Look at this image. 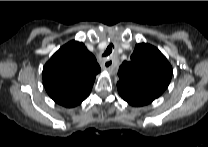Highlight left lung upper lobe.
<instances>
[{"label":"left lung upper lobe","instance_id":"left-lung-upper-lobe-1","mask_svg":"<svg viewBox=\"0 0 208 147\" xmlns=\"http://www.w3.org/2000/svg\"><path fill=\"white\" fill-rule=\"evenodd\" d=\"M172 73L170 63L156 47L141 43L135 46L131 60L120 66L117 86L155 99L168 87Z\"/></svg>","mask_w":208,"mask_h":147}]
</instances>
